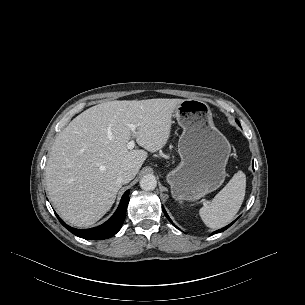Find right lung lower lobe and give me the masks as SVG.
Segmentation results:
<instances>
[{
  "mask_svg": "<svg viewBox=\"0 0 305 305\" xmlns=\"http://www.w3.org/2000/svg\"><path fill=\"white\" fill-rule=\"evenodd\" d=\"M128 202H129V190H127L123 194L116 212L108 221H106L100 226L85 230H79L70 227L65 222H63L62 219L57 214L56 216L58 220L61 222V224L76 236L88 240H102V239L110 238L120 230L126 216Z\"/></svg>",
  "mask_w": 305,
  "mask_h": 305,
  "instance_id": "right-lung-lower-lobe-1",
  "label": "right lung lower lobe"
}]
</instances>
